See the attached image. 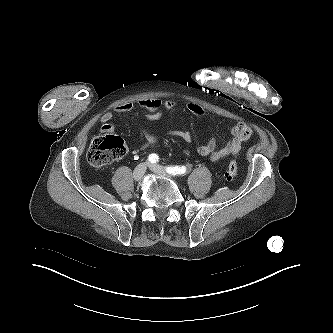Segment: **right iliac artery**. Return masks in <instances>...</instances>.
Returning <instances> with one entry per match:
<instances>
[{"label": "right iliac artery", "instance_id": "82829eb1", "mask_svg": "<svg viewBox=\"0 0 333 333\" xmlns=\"http://www.w3.org/2000/svg\"><path fill=\"white\" fill-rule=\"evenodd\" d=\"M148 160L151 163H157L159 161V157H158V155H156V154L153 153V154L149 155Z\"/></svg>", "mask_w": 333, "mask_h": 333}]
</instances>
